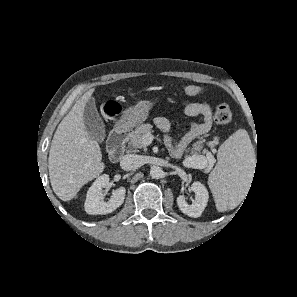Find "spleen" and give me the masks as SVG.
<instances>
[{
  "label": "spleen",
  "instance_id": "spleen-1",
  "mask_svg": "<svg viewBox=\"0 0 297 297\" xmlns=\"http://www.w3.org/2000/svg\"><path fill=\"white\" fill-rule=\"evenodd\" d=\"M217 165L208 184L219 211L233 205L243 196L251 181L255 152L248 133L237 130L219 148Z\"/></svg>",
  "mask_w": 297,
  "mask_h": 297
}]
</instances>
